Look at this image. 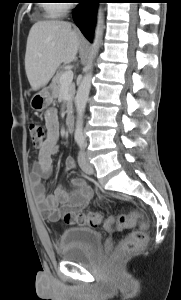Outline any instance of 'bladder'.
I'll return each mask as SVG.
<instances>
[{
    "label": "bladder",
    "mask_w": 181,
    "mask_h": 300,
    "mask_svg": "<svg viewBox=\"0 0 181 300\" xmlns=\"http://www.w3.org/2000/svg\"><path fill=\"white\" fill-rule=\"evenodd\" d=\"M102 245V234L88 227L68 228L59 238L60 256L65 261H89L100 253Z\"/></svg>",
    "instance_id": "bladder-1"
}]
</instances>
